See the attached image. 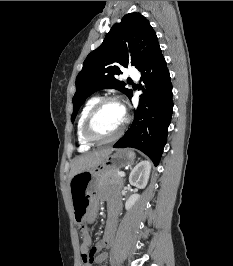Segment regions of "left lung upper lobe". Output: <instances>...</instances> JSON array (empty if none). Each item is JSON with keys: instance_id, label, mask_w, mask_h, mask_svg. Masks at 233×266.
<instances>
[{"instance_id": "1", "label": "left lung upper lobe", "mask_w": 233, "mask_h": 266, "mask_svg": "<svg viewBox=\"0 0 233 266\" xmlns=\"http://www.w3.org/2000/svg\"><path fill=\"white\" fill-rule=\"evenodd\" d=\"M158 45L155 31L140 13L126 14L120 23L114 24L103 43L87 56L76 78L71 121L74 122L84 101L98 90L115 88L129 98L132 90L116 78L122 73L121 66L131 64L139 69Z\"/></svg>"}]
</instances>
